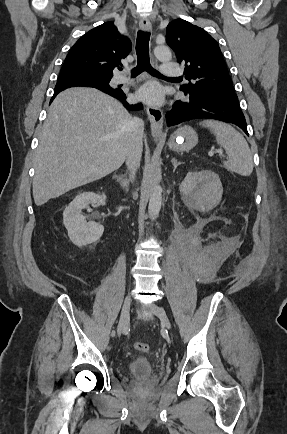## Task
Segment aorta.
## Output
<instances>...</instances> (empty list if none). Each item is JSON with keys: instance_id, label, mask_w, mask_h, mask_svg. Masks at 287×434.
Wrapping results in <instances>:
<instances>
[{"instance_id": "762f6f07", "label": "aorta", "mask_w": 287, "mask_h": 434, "mask_svg": "<svg viewBox=\"0 0 287 434\" xmlns=\"http://www.w3.org/2000/svg\"><path fill=\"white\" fill-rule=\"evenodd\" d=\"M154 55L159 61H169L172 58L170 49L167 46L159 45L154 49ZM162 204V188L155 184L149 199L148 214L151 219L158 217Z\"/></svg>"}]
</instances>
